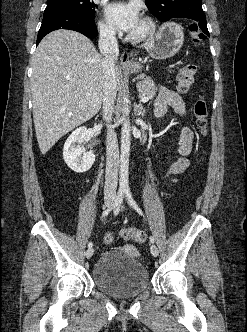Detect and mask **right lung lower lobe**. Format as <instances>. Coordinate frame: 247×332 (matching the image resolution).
Masks as SVG:
<instances>
[{"mask_svg": "<svg viewBox=\"0 0 247 332\" xmlns=\"http://www.w3.org/2000/svg\"><path fill=\"white\" fill-rule=\"evenodd\" d=\"M95 17L77 11L44 12L42 24L37 36V45L48 33L58 29H68L80 32L88 38L97 36Z\"/></svg>", "mask_w": 247, "mask_h": 332, "instance_id": "obj_1", "label": "right lung lower lobe"}]
</instances>
